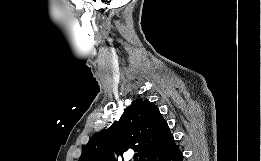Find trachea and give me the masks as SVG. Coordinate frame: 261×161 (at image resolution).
Instances as JSON below:
<instances>
[{
    "label": "trachea",
    "instance_id": "1",
    "mask_svg": "<svg viewBox=\"0 0 261 161\" xmlns=\"http://www.w3.org/2000/svg\"><path fill=\"white\" fill-rule=\"evenodd\" d=\"M133 158H134V161H138V155L137 154H135Z\"/></svg>",
    "mask_w": 261,
    "mask_h": 161
}]
</instances>
